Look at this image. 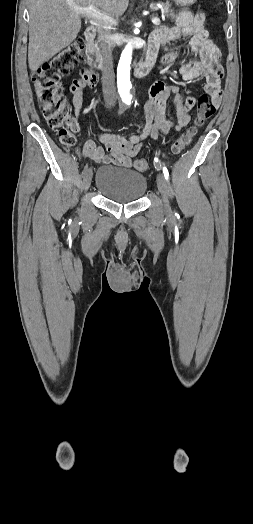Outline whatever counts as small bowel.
Returning a JSON list of instances; mask_svg holds the SVG:
<instances>
[{
  "label": "small bowel",
  "instance_id": "small-bowel-1",
  "mask_svg": "<svg viewBox=\"0 0 253 524\" xmlns=\"http://www.w3.org/2000/svg\"><path fill=\"white\" fill-rule=\"evenodd\" d=\"M205 21L206 17L202 13L195 16L181 15L178 17L176 25L156 29L150 37L147 61L153 66L158 59L160 50L165 45L181 37H187L189 47L192 51L198 53L201 59L197 62L182 64L178 72L183 80L188 82L204 78L205 91L211 97L213 104L217 106L222 98L220 51L205 28ZM178 55L177 51L166 53L161 57V62L169 65L177 59ZM170 95H173V102L177 111L176 124L171 121L167 112ZM83 97L72 95L73 105L78 116L83 109ZM195 103L196 98L194 96L183 98L176 87L163 81H156L150 87L149 99L144 105L145 125L140 134L128 136L102 133L99 138L104 143L105 149L88 140L83 145L82 154L98 164H113L131 168L133 158L141 151L145 139L150 137L157 140L167 134L171 128L180 130L189 124L191 117L188 112L194 107ZM71 127L77 131L79 130V123L74 121L71 123Z\"/></svg>",
  "mask_w": 253,
  "mask_h": 524
}]
</instances>
